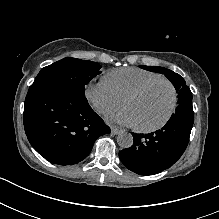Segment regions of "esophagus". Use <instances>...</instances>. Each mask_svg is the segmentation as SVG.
<instances>
[{
	"mask_svg": "<svg viewBox=\"0 0 219 219\" xmlns=\"http://www.w3.org/2000/svg\"><path fill=\"white\" fill-rule=\"evenodd\" d=\"M122 132H123V129H121V128H118V127H112L111 128V133L114 134V135H118Z\"/></svg>",
	"mask_w": 219,
	"mask_h": 219,
	"instance_id": "obj_1",
	"label": "esophagus"
}]
</instances>
